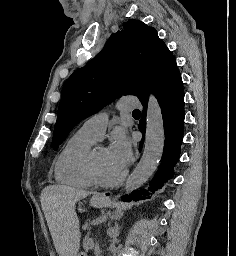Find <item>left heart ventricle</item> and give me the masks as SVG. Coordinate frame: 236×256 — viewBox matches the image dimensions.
<instances>
[{
  "label": "left heart ventricle",
  "instance_id": "b2bd125f",
  "mask_svg": "<svg viewBox=\"0 0 236 256\" xmlns=\"http://www.w3.org/2000/svg\"><path fill=\"white\" fill-rule=\"evenodd\" d=\"M95 162L101 172L106 178H113L119 175L122 170L113 167L108 157V151L106 148H99L93 153Z\"/></svg>",
  "mask_w": 236,
  "mask_h": 256
}]
</instances>
